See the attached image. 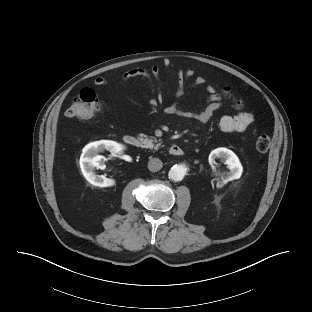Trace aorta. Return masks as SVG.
<instances>
[{
	"mask_svg": "<svg viewBox=\"0 0 312 312\" xmlns=\"http://www.w3.org/2000/svg\"><path fill=\"white\" fill-rule=\"evenodd\" d=\"M187 172V168L184 165H174L169 171V178L173 181H181Z\"/></svg>",
	"mask_w": 312,
	"mask_h": 312,
	"instance_id": "obj_1",
	"label": "aorta"
}]
</instances>
